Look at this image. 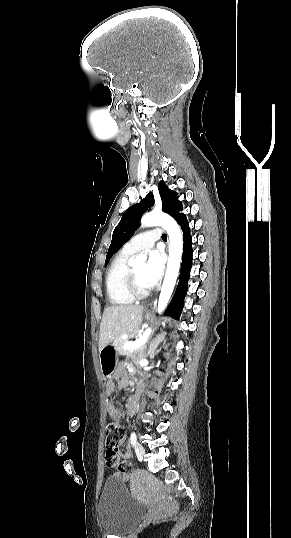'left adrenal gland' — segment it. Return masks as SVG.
<instances>
[{"label": "left adrenal gland", "mask_w": 291, "mask_h": 538, "mask_svg": "<svg viewBox=\"0 0 291 538\" xmlns=\"http://www.w3.org/2000/svg\"><path fill=\"white\" fill-rule=\"evenodd\" d=\"M163 336H159L154 342H152L149 346L148 354L153 357L155 350L157 348V345L162 341Z\"/></svg>", "instance_id": "obj_1"}]
</instances>
